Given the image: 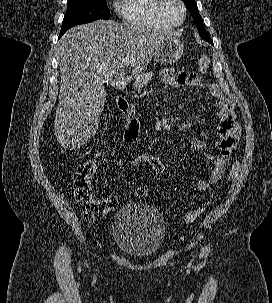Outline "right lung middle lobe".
Instances as JSON below:
<instances>
[{"label": "right lung middle lobe", "instance_id": "right-lung-middle-lobe-1", "mask_svg": "<svg viewBox=\"0 0 272 303\" xmlns=\"http://www.w3.org/2000/svg\"><path fill=\"white\" fill-rule=\"evenodd\" d=\"M111 16L106 0H68L61 32L78 24H85L98 19H109Z\"/></svg>", "mask_w": 272, "mask_h": 303}]
</instances>
